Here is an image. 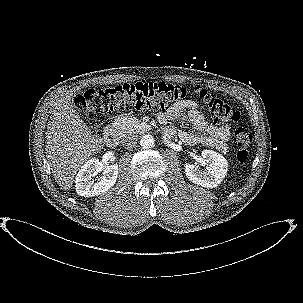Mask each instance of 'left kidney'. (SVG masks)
<instances>
[{"instance_id": "obj_1", "label": "left kidney", "mask_w": 303, "mask_h": 303, "mask_svg": "<svg viewBox=\"0 0 303 303\" xmlns=\"http://www.w3.org/2000/svg\"><path fill=\"white\" fill-rule=\"evenodd\" d=\"M201 156L209 163V166L204 171H201L197 165L186 163V176L197 185L215 188L227 175L228 162L221 154L213 150H203Z\"/></svg>"}]
</instances>
